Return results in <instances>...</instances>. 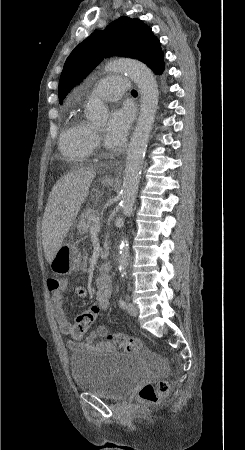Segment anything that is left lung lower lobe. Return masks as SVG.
<instances>
[{"mask_svg": "<svg viewBox=\"0 0 245 450\" xmlns=\"http://www.w3.org/2000/svg\"><path fill=\"white\" fill-rule=\"evenodd\" d=\"M163 70H164L163 63H161L155 69H153L154 73H156V74H161L163 72Z\"/></svg>", "mask_w": 245, "mask_h": 450, "instance_id": "0a47b994", "label": "left lung lower lobe"}]
</instances>
